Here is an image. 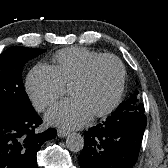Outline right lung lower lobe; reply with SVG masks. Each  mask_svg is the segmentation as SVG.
<instances>
[{
	"instance_id": "1",
	"label": "right lung lower lobe",
	"mask_w": 168,
	"mask_h": 168,
	"mask_svg": "<svg viewBox=\"0 0 168 168\" xmlns=\"http://www.w3.org/2000/svg\"><path fill=\"white\" fill-rule=\"evenodd\" d=\"M41 123L34 109L0 107V168H38L37 151L57 135L53 128L39 133Z\"/></svg>"
}]
</instances>
